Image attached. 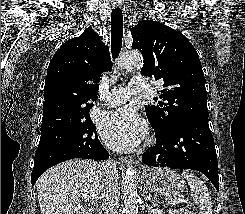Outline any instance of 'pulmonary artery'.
Returning a JSON list of instances; mask_svg holds the SVG:
<instances>
[{"label": "pulmonary artery", "instance_id": "obj_1", "mask_svg": "<svg viewBox=\"0 0 245 214\" xmlns=\"http://www.w3.org/2000/svg\"><path fill=\"white\" fill-rule=\"evenodd\" d=\"M148 81L143 77H133L128 88L120 87L111 90L105 97L106 104L110 106L125 103L132 94H141L147 90Z\"/></svg>", "mask_w": 245, "mask_h": 214}]
</instances>
